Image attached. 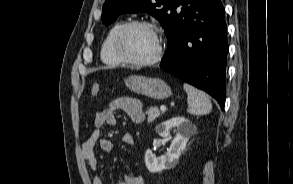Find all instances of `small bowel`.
I'll return each instance as SVG.
<instances>
[{
  "label": "small bowel",
  "instance_id": "1",
  "mask_svg": "<svg viewBox=\"0 0 293 184\" xmlns=\"http://www.w3.org/2000/svg\"><path fill=\"white\" fill-rule=\"evenodd\" d=\"M117 111L126 113L131 121L136 124L143 122L145 119L142 103L138 99L129 96L114 98L105 109L97 112L94 117L95 128L88 139L82 144L83 156L87 160L92 172L96 171L98 164L95 156V147L98 146L101 151L106 153L113 151V144L109 139L103 137L102 129L107 125H116ZM122 139L126 145H134V138L130 133L124 134ZM92 184H104V182L100 176L93 174ZM116 184H144V180L139 175H124Z\"/></svg>",
  "mask_w": 293,
  "mask_h": 184
}]
</instances>
